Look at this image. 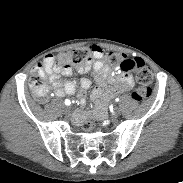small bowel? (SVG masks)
<instances>
[{
	"label": "small bowel",
	"instance_id": "obj_1",
	"mask_svg": "<svg viewBox=\"0 0 183 183\" xmlns=\"http://www.w3.org/2000/svg\"><path fill=\"white\" fill-rule=\"evenodd\" d=\"M89 49L93 57L91 65L77 67V71L79 73H86L91 68L95 73V79L98 86L93 92L94 98H98L103 95L105 100H108L133 88L134 80L131 73H112L104 61L102 49L97 45H91ZM45 72L50 75V81L56 88L58 95H72L78 89V101L82 105L85 103V93L91 86V80L89 78L83 77L79 83L75 80H69L65 82L64 85H61L59 82L60 75L63 74L65 76H70L72 74V70L70 68H63L56 64L53 56L46 58Z\"/></svg>",
	"mask_w": 183,
	"mask_h": 183
}]
</instances>
